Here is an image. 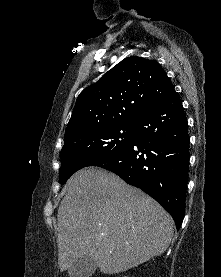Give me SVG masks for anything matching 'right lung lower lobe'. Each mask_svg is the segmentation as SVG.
I'll list each match as a JSON object with an SVG mask.
<instances>
[{"label":"right lung lower lobe","instance_id":"98d812e1","mask_svg":"<svg viewBox=\"0 0 221 277\" xmlns=\"http://www.w3.org/2000/svg\"><path fill=\"white\" fill-rule=\"evenodd\" d=\"M133 126L130 145L94 166L149 194L170 213L179 230L185 212L189 135L176 91L137 118Z\"/></svg>","mask_w":221,"mask_h":277}]
</instances>
